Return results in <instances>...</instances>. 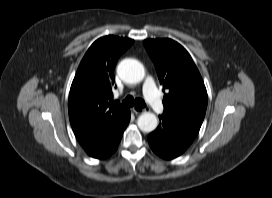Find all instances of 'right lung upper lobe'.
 <instances>
[{"label": "right lung upper lobe", "mask_w": 272, "mask_h": 198, "mask_svg": "<svg viewBox=\"0 0 272 198\" xmlns=\"http://www.w3.org/2000/svg\"><path fill=\"white\" fill-rule=\"evenodd\" d=\"M133 42L108 35L96 40L82 59L68 102L70 123L81 145L94 139L127 110L111 98L116 62Z\"/></svg>", "instance_id": "1"}]
</instances>
